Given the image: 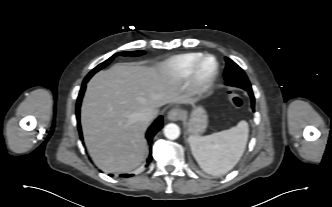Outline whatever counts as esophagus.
Here are the masks:
<instances>
[{
  "label": "esophagus",
  "instance_id": "obj_1",
  "mask_svg": "<svg viewBox=\"0 0 332 207\" xmlns=\"http://www.w3.org/2000/svg\"><path fill=\"white\" fill-rule=\"evenodd\" d=\"M181 117H182V111L177 108L171 109L167 114V118L171 121H177Z\"/></svg>",
  "mask_w": 332,
  "mask_h": 207
}]
</instances>
